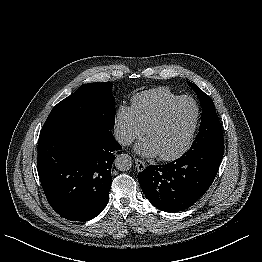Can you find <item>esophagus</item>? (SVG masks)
Returning a JSON list of instances; mask_svg holds the SVG:
<instances>
[{"instance_id":"esophagus-1","label":"esophagus","mask_w":262,"mask_h":262,"mask_svg":"<svg viewBox=\"0 0 262 262\" xmlns=\"http://www.w3.org/2000/svg\"><path fill=\"white\" fill-rule=\"evenodd\" d=\"M135 164L138 171H143L146 168L144 161L135 158Z\"/></svg>"}]
</instances>
